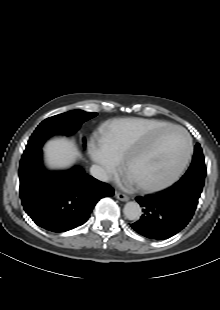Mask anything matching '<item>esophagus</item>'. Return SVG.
Here are the masks:
<instances>
[{"mask_svg": "<svg viewBox=\"0 0 220 310\" xmlns=\"http://www.w3.org/2000/svg\"><path fill=\"white\" fill-rule=\"evenodd\" d=\"M115 197L117 199H119L120 201H128L129 200V197L123 193H120V192H115Z\"/></svg>", "mask_w": 220, "mask_h": 310, "instance_id": "esophagus-1", "label": "esophagus"}]
</instances>
